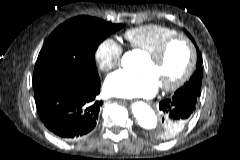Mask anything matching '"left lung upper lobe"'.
<instances>
[{
  "mask_svg": "<svg viewBox=\"0 0 240 160\" xmlns=\"http://www.w3.org/2000/svg\"><path fill=\"white\" fill-rule=\"evenodd\" d=\"M187 35L189 36V38L193 41V43L195 44L193 38L191 37V35L186 32ZM196 45V44H195ZM197 49V70L195 71V73L193 74V76L190 78V80L188 82H186L184 84L183 87H181L180 89H178L175 93H180V94H192L196 97L199 98L200 96V88H201V83H202V77H203V71H202V55L200 53V51ZM183 123L181 122H176L175 126L176 127H182ZM166 132V123L165 121L163 122V126H161L160 129H158L155 133H154V137L160 140L163 139H169L171 137H166L164 134Z\"/></svg>",
  "mask_w": 240,
  "mask_h": 160,
  "instance_id": "obj_1",
  "label": "left lung upper lobe"
}]
</instances>
